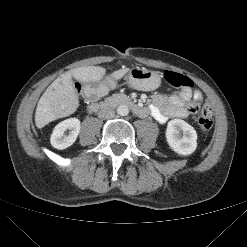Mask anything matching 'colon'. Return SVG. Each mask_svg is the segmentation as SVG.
<instances>
[{"label":"colon","instance_id":"1","mask_svg":"<svg viewBox=\"0 0 247 247\" xmlns=\"http://www.w3.org/2000/svg\"><path fill=\"white\" fill-rule=\"evenodd\" d=\"M163 77L165 81L174 88L192 89L193 81L180 73L166 70L164 71ZM200 109L197 103H191L188 105V111L195 113ZM199 129L202 133L208 132L213 125V110L210 105H204L201 109V115L198 121Z\"/></svg>","mask_w":247,"mask_h":247}]
</instances>
